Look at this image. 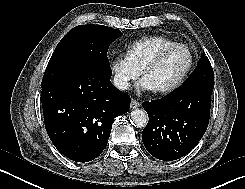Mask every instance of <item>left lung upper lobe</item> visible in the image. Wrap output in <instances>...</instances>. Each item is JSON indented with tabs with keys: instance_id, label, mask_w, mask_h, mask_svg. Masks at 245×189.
I'll return each mask as SVG.
<instances>
[{
	"instance_id": "left-lung-upper-lobe-1",
	"label": "left lung upper lobe",
	"mask_w": 245,
	"mask_h": 189,
	"mask_svg": "<svg viewBox=\"0 0 245 189\" xmlns=\"http://www.w3.org/2000/svg\"><path fill=\"white\" fill-rule=\"evenodd\" d=\"M202 83L214 87L213 69L209 59L203 53L198 65L191 76L186 80L185 84Z\"/></svg>"
}]
</instances>
